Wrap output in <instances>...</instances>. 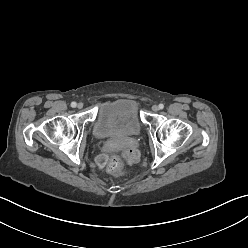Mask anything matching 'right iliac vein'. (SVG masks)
Listing matches in <instances>:
<instances>
[{
	"instance_id": "63e3f726",
	"label": "right iliac vein",
	"mask_w": 248,
	"mask_h": 248,
	"mask_svg": "<svg viewBox=\"0 0 248 248\" xmlns=\"http://www.w3.org/2000/svg\"><path fill=\"white\" fill-rule=\"evenodd\" d=\"M83 106H84L83 103L80 102V103H78L77 108H78V109H82Z\"/></svg>"
}]
</instances>
